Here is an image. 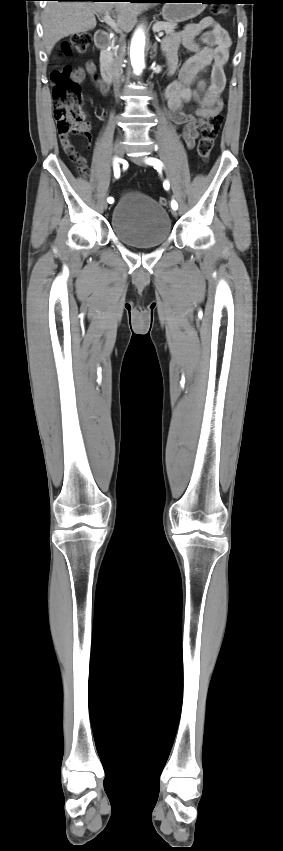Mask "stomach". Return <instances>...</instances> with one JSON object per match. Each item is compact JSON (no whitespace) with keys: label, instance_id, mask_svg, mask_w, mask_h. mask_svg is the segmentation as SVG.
<instances>
[{"label":"stomach","instance_id":"1","mask_svg":"<svg viewBox=\"0 0 283 851\" xmlns=\"http://www.w3.org/2000/svg\"><path fill=\"white\" fill-rule=\"evenodd\" d=\"M162 8L163 18L178 23L195 18L206 7V0H166Z\"/></svg>","mask_w":283,"mask_h":851}]
</instances>
